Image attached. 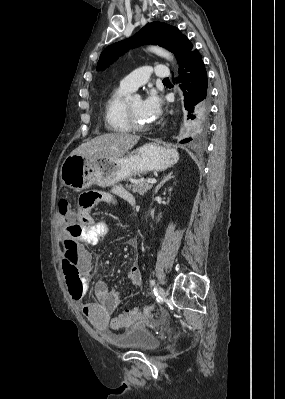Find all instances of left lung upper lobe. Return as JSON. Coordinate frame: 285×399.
<instances>
[{
  "label": "left lung upper lobe",
  "instance_id": "1",
  "mask_svg": "<svg viewBox=\"0 0 285 399\" xmlns=\"http://www.w3.org/2000/svg\"><path fill=\"white\" fill-rule=\"evenodd\" d=\"M143 44H158L173 52L180 64L185 54L193 49V44L178 28L161 22L146 24L132 38L112 44L104 49L97 63V70H104L129 48Z\"/></svg>",
  "mask_w": 285,
  "mask_h": 399
}]
</instances>
